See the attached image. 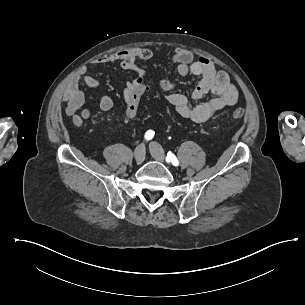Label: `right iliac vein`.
Instances as JSON below:
<instances>
[{
	"label": "right iliac vein",
	"mask_w": 305,
	"mask_h": 305,
	"mask_svg": "<svg viewBox=\"0 0 305 305\" xmlns=\"http://www.w3.org/2000/svg\"><path fill=\"white\" fill-rule=\"evenodd\" d=\"M134 156L137 164H141L145 159V147L140 144L134 151Z\"/></svg>",
	"instance_id": "right-iliac-vein-1"
}]
</instances>
